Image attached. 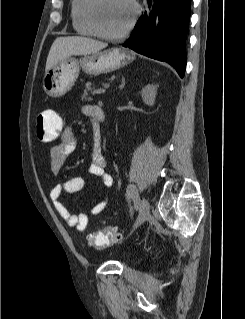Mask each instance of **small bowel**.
I'll list each match as a JSON object with an SVG mask.
<instances>
[{"instance_id": "obj_1", "label": "small bowel", "mask_w": 245, "mask_h": 319, "mask_svg": "<svg viewBox=\"0 0 245 319\" xmlns=\"http://www.w3.org/2000/svg\"><path fill=\"white\" fill-rule=\"evenodd\" d=\"M80 115L89 119L92 122L93 131V162L89 168L90 174L96 176L105 187H112L114 179L112 175L106 170L107 160L102 153L100 132L97 122L103 116L101 107L97 105H84L81 108ZM78 138L71 125H66L61 133L60 141L52 146L50 149L51 171L58 175L66 161L67 156L72 153L77 145ZM85 185V180L82 177H72L62 183L56 184L50 191V199L65 223L76 229L77 232L82 233L88 226L89 218L91 216L100 215L108 206V200H102L96 204L90 211V214L70 212L61 201L63 193H78Z\"/></svg>"}]
</instances>
